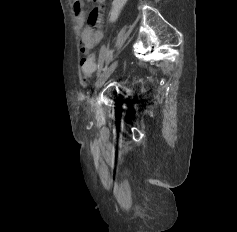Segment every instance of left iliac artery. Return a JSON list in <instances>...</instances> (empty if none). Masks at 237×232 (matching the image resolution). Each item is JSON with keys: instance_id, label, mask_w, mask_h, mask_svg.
I'll list each match as a JSON object with an SVG mask.
<instances>
[{"instance_id": "44dca946", "label": "left iliac artery", "mask_w": 237, "mask_h": 232, "mask_svg": "<svg viewBox=\"0 0 237 232\" xmlns=\"http://www.w3.org/2000/svg\"><path fill=\"white\" fill-rule=\"evenodd\" d=\"M105 53H106V46L102 45V47L100 49V53H99V59H98V73H97L98 75L103 70V63H104V59H105Z\"/></svg>"}]
</instances>
